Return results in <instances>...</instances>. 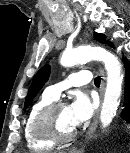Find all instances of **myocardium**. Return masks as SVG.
<instances>
[{"label": "myocardium", "instance_id": "myocardium-1", "mask_svg": "<svg viewBox=\"0 0 130 153\" xmlns=\"http://www.w3.org/2000/svg\"><path fill=\"white\" fill-rule=\"evenodd\" d=\"M64 106H66L65 102L55 101L40 110L33 123L35 132L55 143L71 141L75 137L77 130L74 128L69 132H62L58 128L56 121L59 109Z\"/></svg>", "mask_w": 130, "mask_h": 153}]
</instances>
